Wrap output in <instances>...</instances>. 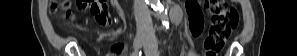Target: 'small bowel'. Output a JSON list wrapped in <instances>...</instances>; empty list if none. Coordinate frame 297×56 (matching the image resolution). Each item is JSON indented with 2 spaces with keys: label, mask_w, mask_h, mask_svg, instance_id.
<instances>
[{
  "label": "small bowel",
  "mask_w": 297,
  "mask_h": 56,
  "mask_svg": "<svg viewBox=\"0 0 297 56\" xmlns=\"http://www.w3.org/2000/svg\"><path fill=\"white\" fill-rule=\"evenodd\" d=\"M186 10L189 16L191 34L193 36H199L203 30L204 21L198 2L194 0L188 1L186 5Z\"/></svg>",
  "instance_id": "obj_1"
}]
</instances>
